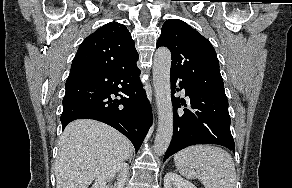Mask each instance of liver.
Instances as JSON below:
<instances>
[{"mask_svg":"<svg viewBox=\"0 0 292 188\" xmlns=\"http://www.w3.org/2000/svg\"><path fill=\"white\" fill-rule=\"evenodd\" d=\"M131 154V142L114 128L91 119L73 121L60 138L56 188H88L96 177Z\"/></svg>","mask_w":292,"mask_h":188,"instance_id":"1","label":"liver"}]
</instances>
